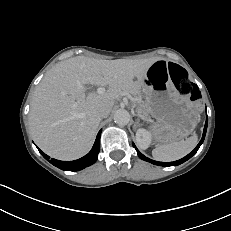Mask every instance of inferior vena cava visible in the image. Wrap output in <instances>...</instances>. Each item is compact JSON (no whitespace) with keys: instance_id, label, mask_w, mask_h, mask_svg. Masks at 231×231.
Listing matches in <instances>:
<instances>
[{"instance_id":"1","label":"inferior vena cava","mask_w":231,"mask_h":231,"mask_svg":"<svg viewBox=\"0 0 231 231\" xmlns=\"http://www.w3.org/2000/svg\"><path fill=\"white\" fill-rule=\"evenodd\" d=\"M109 113H110V110L108 108H106V107H100L97 110V116L99 118H107Z\"/></svg>"}]
</instances>
